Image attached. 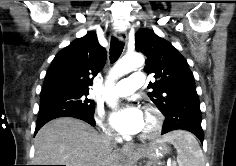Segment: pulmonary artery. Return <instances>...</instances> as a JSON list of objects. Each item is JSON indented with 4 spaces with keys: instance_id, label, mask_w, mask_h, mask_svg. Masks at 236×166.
<instances>
[{
    "instance_id": "pulmonary-artery-1",
    "label": "pulmonary artery",
    "mask_w": 236,
    "mask_h": 166,
    "mask_svg": "<svg viewBox=\"0 0 236 166\" xmlns=\"http://www.w3.org/2000/svg\"><path fill=\"white\" fill-rule=\"evenodd\" d=\"M144 79V72L134 71L128 79H123L117 82L114 89L115 96L126 97L131 95L136 89L144 85Z\"/></svg>"
}]
</instances>
